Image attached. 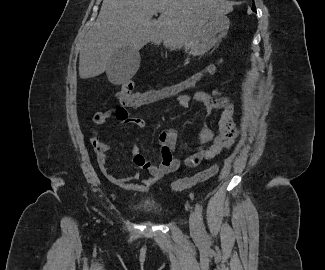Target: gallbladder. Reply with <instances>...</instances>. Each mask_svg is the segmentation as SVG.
Instances as JSON below:
<instances>
[{"label":"gallbladder","mask_w":325,"mask_h":270,"mask_svg":"<svg viewBox=\"0 0 325 270\" xmlns=\"http://www.w3.org/2000/svg\"><path fill=\"white\" fill-rule=\"evenodd\" d=\"M140 54L130 47H123L114 52L107 65V76L117 79L131 78L139 68Z\"/></svg>","instance_id":"obj_1"}]
</instances>
